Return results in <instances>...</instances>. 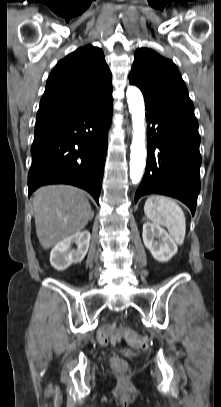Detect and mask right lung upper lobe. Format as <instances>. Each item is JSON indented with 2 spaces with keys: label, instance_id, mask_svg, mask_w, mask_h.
I'll return each instance as SVG.
<instances>
[{
  "label": "right lung upper lobe",
  "instance_id": "obj_1",
  "mask_svg": "<svg viewBox=\"0 0 221 407\" xmlns=\"http://www.w3.org/2000/svg\"><path fill=\"white\" fill-rule=\"evenodd\" d=\"M111 72L103 51L92 45L60 60L48 77L36 123L90 108L112 97Z\"/></svg>",
  "mask_w": 221,
  "mask_h": 407
}]
</instances>
